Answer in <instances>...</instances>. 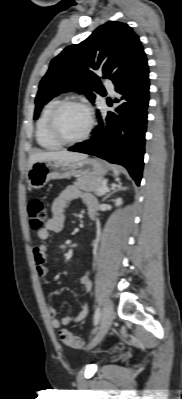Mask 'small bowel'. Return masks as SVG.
I'll return each instance as SVG.
<instances>
[{"label": "small bowel", "instance_id": "1", "mask_svg": "<svg viewBox=\"0 0 182 399\" xmlns=\"http://www.w3.org/2000/svg\"><path fill=\"white\" fill-rule=\"evenodd\" d=\"M79 198L84 200L88 210H97L98 202L93 195L83 192L75 186H68L55 197L51 206V217L48 219L45 226L36 233L37 238L41 241V243L35 246L33 254L37 267V274L40 277H46L48 274V268L46 266L48 248L45 242L48 240L51 233H58L63 230L66 209L71 201ZM80 283L87 292L91 291L92 284L89 274H84L80 278ZM47 312L51 320V326L55 329H59L62 326H67L83 320L87 315V305L83 304L77 313L74 315L65 316L62 319L58 318L57 309L53 305L48 306Z\"/></svg>", "mask_w": 182, "mask_h": 399}]
</instances>
